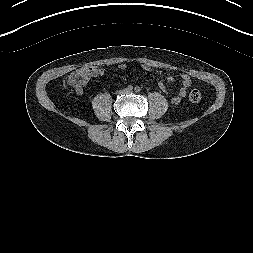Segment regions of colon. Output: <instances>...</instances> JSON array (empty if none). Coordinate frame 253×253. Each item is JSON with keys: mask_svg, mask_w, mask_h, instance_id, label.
<instances>
[{"mask_svg": "<svg viewBox=\"0 0 253 253\" xmlns=\"http://www.w3.org/2000/svg\"><path fill=\"white\" fill-rule=\"evenodd\" d=\"M92 70L90 68H81L78 71L74 72L69 80L68 84L75 90L81 89L85 86L86 82L91 76ZM202 94L199 89L194 88L189 93L190 101L197 103L201 100Z\"/></svg>", "mask_w": 253, "mask_h": 253, "instance_id": "obj_1", "label": "colon"}]
</instances>
